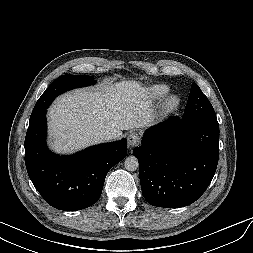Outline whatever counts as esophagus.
I'll list each match as a JSON object with an SVG mask.
<instances>
[{"label": "esophagus", "mask_w": 253, "mask_h": 253, "mask_svg": "<svg viewBox=\"0 0 253 253\" xmlns=\"http://www.w3.org/2000/svg\"><path fill=\"white\" fill-rule=\"evenodd\" d=\"M127 144L130 148H133L140 144V136L137 132H131L127 137Z\"/></svg>", "instance_id": "esophagus-1"}]
</instances>
